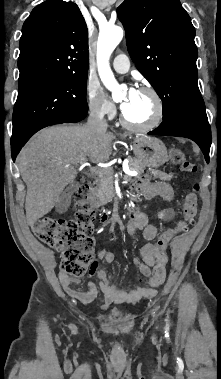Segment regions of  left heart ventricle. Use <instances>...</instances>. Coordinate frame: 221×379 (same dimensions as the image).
<instances>
[{
    "label": "left heart ventricle",
    "mask_w": 221,
    "mask_h": 379,
    "mask_svg": "<svg viewBox=\"0 0 221 379\" xmlns=\"http://www.w3.org/2000/svg\"><path fill=\"white\" fill-rule=\"evenodd\" d=\"M125 98L126 95L122 101H124ZM154 111L155 106L153 99L148 94L139 92L129 107L123 112L129 121L136 124H145L152 119Z\"/></svg>",
    "instance_id": "1"
}]
</instances>
